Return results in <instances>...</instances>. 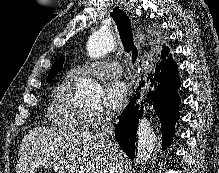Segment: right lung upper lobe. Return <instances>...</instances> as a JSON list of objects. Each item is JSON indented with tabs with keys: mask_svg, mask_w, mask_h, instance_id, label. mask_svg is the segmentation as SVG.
Wrapping results in <instances>:
<instances>
[{
	"mask_svg": "<svg viewBox=\"0 0 219 173\" xmlns=\"http://www.w3.org/2000/svg\"><path fill=\"white\" fill-rule=\"evenodd\" d=\"M169 53V49L168 48H163L162 52H161V55L162 56H165Z\"/></svg>",
	"mask_w": 219,
	"mask_h": 173,
	"instance_id": "obj_1",
	"label": "right lung upper lobe"
}]
</instances>
